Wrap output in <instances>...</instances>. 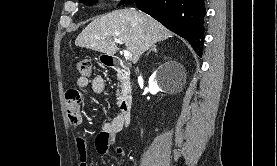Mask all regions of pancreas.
Instances as JSON below:
<instances>
[{
	"label": "pancreas",
	"mask_w": 277,
	"mask_h": 166,
	"mask_svg": "<svg viewBox=\"0 0 277 166\" xmlns=\"http://www.w3.org/2000/svg\"><path fill=\"white\" fill-rule=\"evenodd\" d=\"M120 87H122V86L120 85ZM117 100H118V101L121 100V96H120L119 94H117Z\"/></svg>",
	"instance_id": "obj_1"
}]
</instances>
